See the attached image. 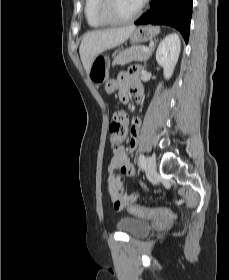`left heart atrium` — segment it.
I'll list each match as a JSON object with an SVG mask.
<instances>
[{"label": "left heart atrium", "instance_id": "39dd6f15", "mask_svg": "<svg viewBox=\"0 0 229 280\" xmlns=\"http://www.w3.org/2000/svg\"><path fill=\"white\" fill-rule=\"evenodd\" d=\"M137 1H138L139 6H140L144 3L145 0H137Z\"/></svg>", "mask_w": 229, "mask_h": 280}]
</instances>
